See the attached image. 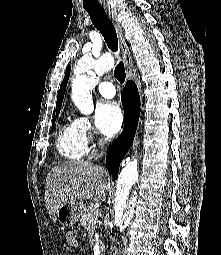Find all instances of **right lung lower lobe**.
<instances>
[{"instance_id":"obj_1","label":"right lung lower lobe","mask_w":221,"mask_h":255,"mask_svg":"<svg viewBox=\"0 0 221 255\" xmlns=\"http://www.w3.org/2000/svg\"><path fill=\"white\" fill-rule=\"evenodd\" d=\"M121 99L126 119L125 127L121 135L110 146L106 156L107 169L115 179L118 176L120 163L132 144L140 115V97L133 81L126 83Z\"/></svg>"}]
</instances>
